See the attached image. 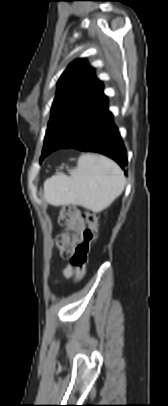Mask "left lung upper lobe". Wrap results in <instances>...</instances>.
<instances>
[{
  "label": "left lung upper lobe",
  "mask_w": 168,
  "mask_h": 406,
  "mask_svg": "<svg viewBox=\"0 0 168 406\" xmlns=\"http://www.w3.org/2000/svg\"><path fill=\"white\" fill-rule=\"evenodd\" d=\"M103 98L93 68L84 59L71 63L59 79L40 161L73 138Z\"/></svg>",
  "instance_id": "left-lung-upper-lobe-1"
}]
</instances>
